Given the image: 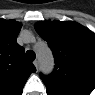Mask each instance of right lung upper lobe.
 Returning <instances> with one entry per match:
<instances>
[{
  "label": "right lung upper lobe",
  "instance_id": "cb5924a9",
  "mask_svg": "<svg viewBox=\"0 0 95 95\" xmlns=\"http://www.w3.org/2000/svg\"><path fill=\"white\" fill-rule=\"evenodd\" d=\"M21 24L0 19V95H21L29 75L36 71L16 41Z\"/></svg>",
  "mask_w": 95,
  "mask_h": 95
}]
</instances>
